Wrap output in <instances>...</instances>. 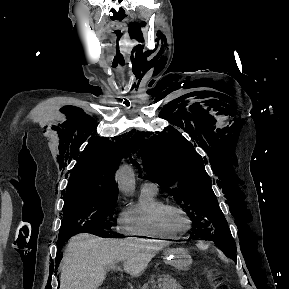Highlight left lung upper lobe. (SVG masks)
<instances>
[{
  "mask_svg": "<svg viewBox=\"0 0 289 289\" xmlns=\"http://www.w3.org/2000/svg\"><path fill=\"white\" fill-rule=\"evenodd\" d=\"M163 133L141 144L140 153L148 179L158 183L185 207L193 221L190 238L212 240L236 261L235 241L201 156L180 133L170 130Z\"/></svg>",
  "mask_w": 289,
  "mask_h": 289,
  "instance_id": "5c2ea615",
  "label": "left lung upper lobe"
}]
</instances>
